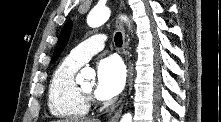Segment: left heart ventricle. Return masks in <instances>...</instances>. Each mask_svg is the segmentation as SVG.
I'll list each match as a JSON object with an SVG mask.
<instances>
[{"label": "left heart ventricle", "instance_id": "b2bd125f", "mask_svg": "<svg viewBox=\"0 0 221 122\" xmlns=\"http://www.w3.org/2000/svg\"><path fill=\"white\" fill-rule=\"evenodd\" d=\"M83 89L86 90L87 92L92 93L95 87L94 82H87L82 85Z\"/></svg>", "mask_w": 221, "mask_h": 122}]
</instances>
